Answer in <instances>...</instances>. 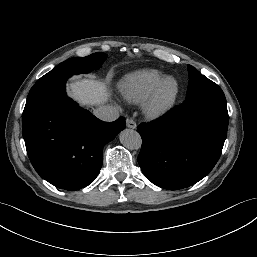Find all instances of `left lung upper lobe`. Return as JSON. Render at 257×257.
Masks as SVG:
<instances>
[{
    "label": "left lung upper lobe",
    "instance_id": "left-lung-upper-lobe-1",
    "mask_svg": "<svg viewBox=\"0 0 257 257\" xmlns=\"http://www.w3.org/2000/svg\"><path fill=\"white\" fill-rule=\"evenodd\" d=\"M189 83L186 102H196L204 99H226L221 88L202 75L193 66L188 65Z\"/></svg>",
    "mask_w": 257,
    "mask_h": 257
}]
</instances>
